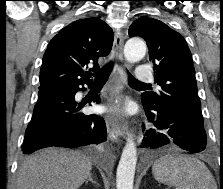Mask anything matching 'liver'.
<instances>
[{
  "mask_svg": "<svg viewBox=\"0 0 223 189\" xmlns=\"http://www.w3.org/2000/svg\"><path fill=\"white\" fill-rule=\"evenodd\" d=\"M91 169V159L80 152L44 149L24 160L18 172L17 189H77Z\"/></svg>",
  "mask_w": 223,
  "mask_h": 189,
  "instance_id": "6515ba94",
  "label": "liver"
}]
</instances>
